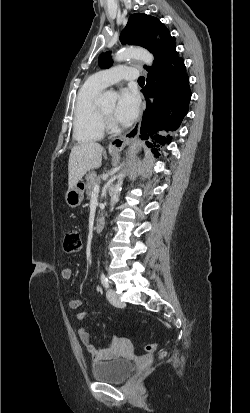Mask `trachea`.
Here are the masks:
<instances>
[{"label":"trachea","instance_id":"3493384b","mask_svg":"<svg viewBox=\"0 0 250 413\" xmlns=\"http://www.w3.org/2000/svg\"><path fill=\"white\" fill-rule=\"evenodd\" d=\"M145 82V78L143 76L138 78V83H144Z\"/></svg>","mask_w":250,"mask_h":413}]
</instances>
